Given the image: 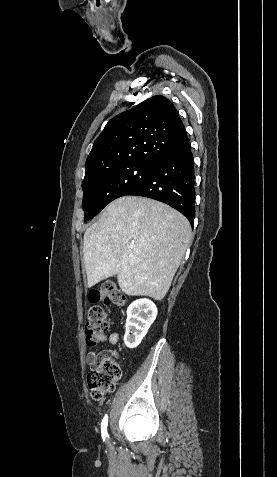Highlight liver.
Segmentation results:
<instances>
[{
    "mask_svg": "<svg viewBox=\"0 0 277 477\" xmlns=\"http://www.w3.org/2000/svg\"><path fill=\"white\" fill-rule=\"evenodd\" d=\"M190 240V223L174 208L149 198L120 197L84 233L88 286L117 275L125 294L160 301Z\"/></svg>",
    "mask_w": 277,
    "mask_h": 477,
    "instance_id": "6515ba94",
    "label": "liver"
}]
</instances>
